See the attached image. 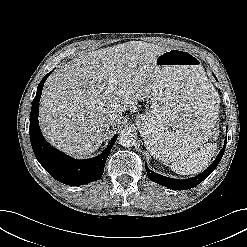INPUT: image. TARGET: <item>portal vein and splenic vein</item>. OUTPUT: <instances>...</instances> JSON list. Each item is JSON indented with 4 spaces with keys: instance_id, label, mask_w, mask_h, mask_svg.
<instances>
[{
    "instance_id": "portal-vein-and-splenic-vein-1",
    "label": "portal vein and splenic vein",
    "mask_w": 247,
    "mask_h": 247,
    "mask_svg": "<svg viewBox=\"0 0 247 247\" xmlns=\"http://www.w3.org/2000/svg\"><path fill=\"white\" fill-rule=\"evenodd\" d=\"M108 89H109L110 91H113V90L115 89V80H113V81H111V82L109 83Z\"/></svg>"
}]
</instances>
